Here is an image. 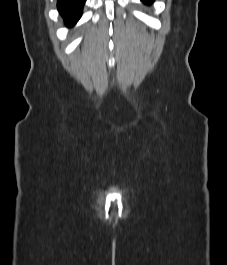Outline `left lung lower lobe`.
Listing matches in <instances>:
<instances>
[{
    "label": "left lung lower lobe",
    "instance_id": "left-lung-lower-lobe-1",
    "mask_svg": "<svg viewBox=\"0 0 227 265\" xmlns=\"http://www.w3.org/2000/svg\"><path fill=\"white\" fill-rule=\"evenodd\" d=\"M146 4H151L154 0H142Z\"/></svg>",
    "mask_w": 227,
    "mask_h": 265
}]
</instances>
